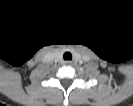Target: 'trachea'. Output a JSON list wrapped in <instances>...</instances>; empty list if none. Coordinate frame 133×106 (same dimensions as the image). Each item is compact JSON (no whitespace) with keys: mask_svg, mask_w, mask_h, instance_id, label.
<instances>
[{"mask_svg":"<svg viewBox=\"0 0 133 106\" xmlns=\"http://www.w3.org/2000/svg\"><path fill=\"white\" fill-rule=\"evenodd\" d=\"M63 58L65 60H72V54L70 52H65Z\"/></svg>","mask_w":133,"mask_h":106,"instance_id":"3493384b","label":"trachea"}]
</instances>
